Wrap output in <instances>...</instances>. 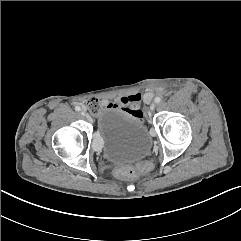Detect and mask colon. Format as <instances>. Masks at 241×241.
<instances>
[{
  "instance_id": "1",
  "label": "colon",
  "mask_w": 241,
  "mask_h": 241,
  "mask_svg": "<svg viewBox=\"0 0 241 241\" xmlns=\"http://www.w3.org/2000/svg\"><path fill=\"white\" fill-rule=\"evenodd\" d=\"M87 110L92 114H97L101 108V105L97 99H90L86 103ZM140 169L133 166H124L116 170V174L119 177L133 179L139 175Z\"/></svg>"
}]
</instances>
